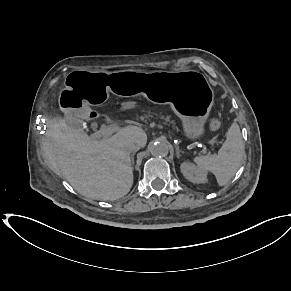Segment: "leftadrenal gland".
I'll return each mask as SVG.
<instances>
[{"label":"left adrenal gland","instance_id":"left-adrenal-gland-1","mask_svg":"<svg viewBox=\"0 0 291 291\" xmlns=\"http://www.w3.org/2000/svg\"><path fill=\"white\" fill-rule=\"evenodd\" d=\"M180 152H182L178 146H176V155H177V158H180Z\"/></svg>","mask_w":291,"mask_h":291}]
</instances>
